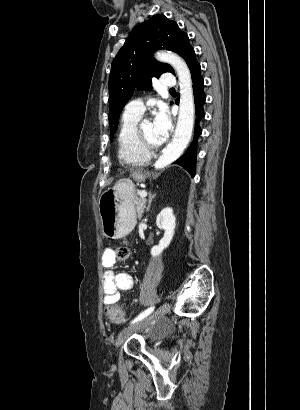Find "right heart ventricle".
Instances as JSON below:
<instances>
[{
  "label": "right heart ventricle",
  "mask_w": 300,
  "mask_h": 410,
  "mask_svg": "<svg viewBox=\"0 0 300 410\" xmlns=\"http://www.w3.org/2000/svg\"><path fill=\"white\" fill-rule=\"evenodd\" d=\"M141 114L125 111L117 134L118 158L130 165H143L150 159V153L144 151L136 140V126Z\"/></svg>",
  "instance_id": "e07e8e85"
}]
</instances>
